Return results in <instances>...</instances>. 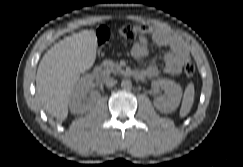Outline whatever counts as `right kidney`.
I'll use <instances>...</instances> for the list:
<instances>
[{"label":"right kidney","mask_w":243,"mask_h":167,"mask_svg":"<svg viewBox=\"0 0 243 167\" xmlns=\"http://www.w3.org/2000/svg\"><path fill=\"white\" fill-rule=\"evenodd\" d=\"M93 80L92 75L86 74L81 77L73 88L69 98V107L72 113L82 114L94 105L95 98H92L90 102H86V94L90 90Z\"/></svg>","instance_id":"1"}]
</instances>
